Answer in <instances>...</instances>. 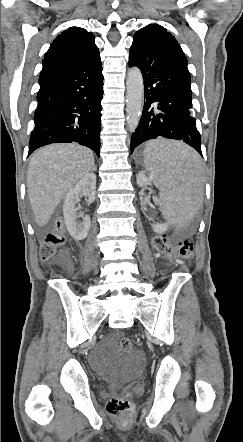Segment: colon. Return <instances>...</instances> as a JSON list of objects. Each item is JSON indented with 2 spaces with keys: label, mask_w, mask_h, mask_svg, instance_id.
<instances>
[{
  "label": "colon",
  "mask_w": 243,
  "mask_h": 442,
  "mask_svg": "<svg viewBox=\"0 0 243 442\" xmlns=\"http://www.w3.org/2000/svg\"><path fill=\"white\" fill-rule=\"evenodd\" d=\"M155 235H152L153 251L160 254L161 258L179 259L180 262H190L194 254L198 252V247L191 236L173 237L169 232H162L157 226L150 228ZM172 238L173 247L169 246ZM63 225L58 222L53 231L49 232L40 248V258L42 261L52 259L58 249L65 243ZM122 351L129 353L133 349L132 341L128 337H122L119 341ZM107 412L118 419H127L131 415V402L128 393L111 398L107 403Z\"/></svg>",
  "instance_id": "obj_1"
}]
</instances>
